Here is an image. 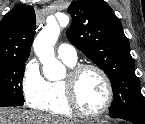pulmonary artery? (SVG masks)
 Masks as SVG:
<instances>
[{
	"label": "pulmonary artery",
	"mask_w": 145,
	"mask_h": 124,
	"mask_svg": "<svg viewBox=\"0 0 145 124\" xmlns=\"http://www.w3.org/2000/svg\"><path fill=\"white\" fill-rule=\"evenodd\" d=\"M57 55L60 59L69 62H76L78 58L76 49L72 45L66 43L59 45Z\"/></svg>",
	"instance_id": "1"
}]
</instances>
